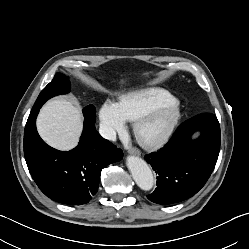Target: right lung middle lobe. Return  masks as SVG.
Returning <instances> with one entry per match:
<instances>
[{"instance_id":"obj_1","label":"right lung middle lobe","mask_w":249,"mask_h":249,"mask_svg":"<svg viewBox=\"0 0 249 249\" xmlns=\"http://www.w3.org/2000/svg\"><path fill=\"white\" fill-rule=\"evenodd\" d=\"M70 82L68 77L62 73H56L54 79L42 90L34 105H43L49 98L68 93L70 91ZM96 109L93 105H89L83 109L84 118L92 122L96 121Z\"/></svg>"}]
</instances>
